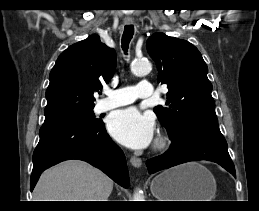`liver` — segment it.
I'll list each match as a JSON object with an SVG mask.
<instances>
[{
	"instance_id": "6515ba94",
	"label": "liver",
	"mask_w": 259,
	"mask_h": 211,
	"mask_svg": "<svg viewBox=\"0 0 259 211\" xmlns=\"http://www.w3.org/2000/svg\"><path fill=\"white\" fill-rule=\"evenodd\" d=\"M113 180L80 160L64 161L42 173L33 201H108Z\"/></svg>"
}]
</instances>
